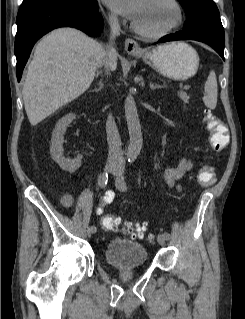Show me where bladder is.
I'll list each match as a JSON object with an SVG mask.
<instances>
[{"mask_svg": "<svg viewBox=\"0 0 245 319\" xmlns=\"http://www.w3.org/2000/svg\"><path fill=\"white\" fill-rule=\"evenodd\" d=\"M104 259L107 264L118 268H133L148 261L146 247L133 240L114 238L104 248Z\"/></svg>", "mask_w": 245, "mask_h": 319, "instance_id": "1", "label": "bladder"}]
</instances>
